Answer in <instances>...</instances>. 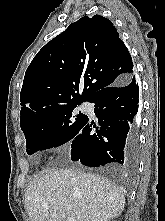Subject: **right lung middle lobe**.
Masks as SVG:
<instances>
[{"label":"right lung middle lobe","instance_id":"right-lung-middle-lobe-1","mask_svg":"<svg viewBox=\"0 0 165 221\" xmlns=\"http://www.w3.org/2000/svg\"><path fill=\"white\" fill-rule=\"evenodd\" d=\"M78 104L68 105L36 115L20 123L26 138L27 153L58 147L75 137L88 117L74 110Z\"/></svg>","mask_w":165,"mask_h":221}]
</instances>
